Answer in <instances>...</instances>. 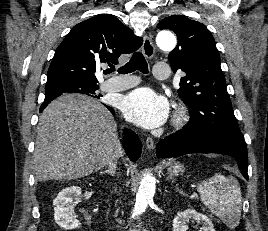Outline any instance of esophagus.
Here are the masks:
<instances>
[{
	"instance_id": "1",
	"label": "esophagus",
	"mask_w": 268,
	"mask_h": 231,
	"mask_svg": "<svg viewBox=\"0 0 268 231\" xmlns=\"http://www.w3.org/2000/svg\"><path fill=\"white\" fill-rule=\"evenodd\" d=\"M141 50H142L143 55L146 58L151 59L153 57L154 52H155V47L150 37L146 36L144 38L143 44L141 46ZM145 145H146L147 150L149 151L153 150L155 147L154 140L151 137H147Z\"/></svg>"
}]
</instances>
